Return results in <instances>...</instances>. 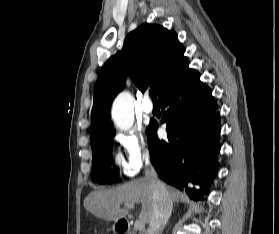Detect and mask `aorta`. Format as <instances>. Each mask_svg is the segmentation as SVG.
<instances>
[{
  "label": "aorta",
  "instance_id": "aorta-1",
  "mask_svg": "<svg viewBox=\"0 0 279 234\" xmlns=\"http://www.w3.org/2000/svg\"><path fill=\"white\" fill-rule=\"evenodd\" d=\"M112 119L115 125L128 130L134 123L133 98L130 93L122 92L114 100L112 106Z\"/></svg>",
  "mask_w": 279,
  "mask_h": 234
}]
</instances>
